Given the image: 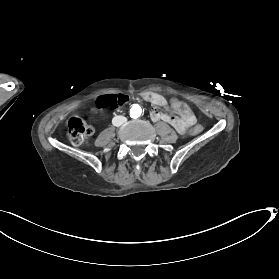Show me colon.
<instances>
[{"instance_id": "1", "label": "colon", "mask_w": 279, "mask_h": 279, "mask_svg": "<svg viewBox=\"0 0 279 279\" xmlns=\"http://www.w3.org/2000/svg\"><path fill=\"white\" fill-rule=\"evenodd\" d=\"M129 101V97L125 94H105L101 95L96 100V105L101 109L117 108L124 106ZM176 112L182 117L192 115L190 107L182 102H178ZM203 126L195 125L191 130V135H198L203 131ZM93 134V128L86 124L79 117H71L67 124V136L74 144H82Z\"/></svg>"}]
</instances>
